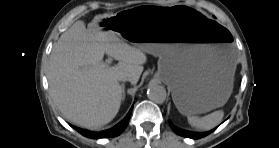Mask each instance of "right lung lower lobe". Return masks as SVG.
I'll use <instances>...</instances> for the list:
<instances>
[{"label":"right lung lower lobe","instance_id":"right-lung-lower-lobe-1","mask_svg":"<svg viewBox=\"0 0 279 148\" xmlns=\"http://www.w3.org/2000/svg\"><path fill=\"white\" fill-rule=\"evenodd\" d=\"M131 112H132V108L129 111V113L127 114V116L120 122L118 123L116 126H114L113 128L109 129V130H105V131H101V132H90L87 130H83L77 127H74V129H76L78 132H80L82 135L88 137V138H92V139H97V138H105V137H116L118 135H120L123 130L126 128L130 116H131Z\"/></svg>","mask_w":279,"mask_h":148}]
</instances>
